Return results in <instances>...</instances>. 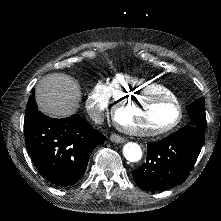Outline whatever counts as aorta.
Listing matches in <instances>:
<instances>
[{"label": "aorta", "mask_w": 221, "mask_h": 221, "mask_svg": "<svg viewBox=\"0 0 221 221\" xmlns=\"http://www.w3.org/2000/svg\"><path fill=\"white\" fill-rule=\"evenodd\" d=\"M123 155L130 162H138L142 158V149L137 143L128 142L123 147Z\"/></svg>", "instance_id": "obj_1"}]
</instances>
